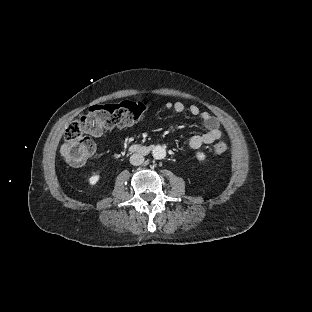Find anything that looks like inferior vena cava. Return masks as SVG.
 I'll list each match as a JSON object with an SVG mask.
<instances>
[{"label":"inferior vena cava","mask_w":312,"mask_h":312,"mask_svg":"<svg viewBox=\"0 0 312 312\" xmlns=\"http://www.w3.org/2000/svg\"><path fill=\"white\" fill-rule=\"evenodd\" d=\"M144 160H145L144 156L138 153H134L130 157V163L134 166H139L143 164Z\"/></svg>","instance_id":"inferior-vena-cava-1"}]
</instances>
